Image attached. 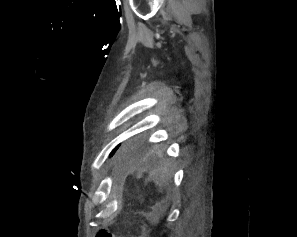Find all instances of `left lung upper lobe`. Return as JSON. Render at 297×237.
I'll return each instance as SVG.
<instances>
[{
    "label": "left lung upper lobe",
    "mask_w": 297,
    "mask_h": 237,
    "mask_svg": "<svg viewBox=\"0 0 297 237\" xmlns=\"http://www.w3.org/2000/svg\"><path fill=\"white\" fill-rule=\"evenodd\" d=\"M120 144L118 146H116V148L110 153V156H113L115 151L119 148ZM134 146V144H133ZM135 147V146H134ZM127 153H130L131 155H136L138 153V150L135 148L131 149V148H128L126 149Z\"/></svg>",
    "instance_id": "left-lung-upper-lobe-1"
}]
</instances>
